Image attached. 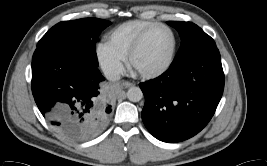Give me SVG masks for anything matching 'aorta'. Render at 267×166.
I'll use <instances>...</instances> for the list:
<instances>
[{"label": "aorta", "mask_w": 267, "mask_h": 166, "mask_svg": "<svg viewBox=\"0 0 267 166\" xmlns=\"http://www.w3.org/2000/svg\"><path fill=\"white\" fill-rule=\"evenodd\" d=\"M127 98L132 102H138L143 98V92L139 87H131L127 91Z\"/></svg>", "instance_id": "obj_1"}]
</instances>
